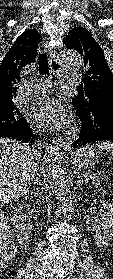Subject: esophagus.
<instances>
[{"label": "esophagus", "mask_w": 113, "mask_h": 279, "mask_svg": "<svg viewBox=\"0 0 113 279\" xmlns=\"http://www.w3.org/2000/svg\"><path fill=\"white\" fill-rule=\"evenodd\" d=\"M44 47L49 56V64L51 69L54 72H60L62 69V65L55 58V49L53 47L48 46V40L45 41ZM75 137H76L75 130L72 133L71 132L68 133V135L65 137V141L62 143L65 151H69L71 149V145Z\"/></svg>", "instance_id": "34e87169"}]
</instances>
